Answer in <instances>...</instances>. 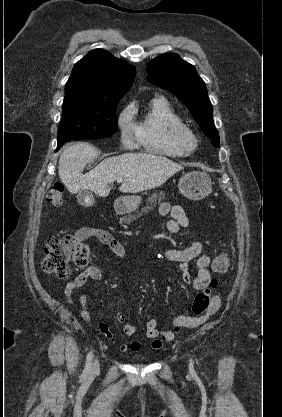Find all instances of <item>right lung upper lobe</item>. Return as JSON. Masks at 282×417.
<instances>
[{
  "mask_svg": "<svg viewBox=\"0 0 282 417\" xmlns=\"http://www.w3.org/2000/svg\"><path fill=\"white\" fill-rule=\"evenodd\" d=\"M134 76V66L106 50L95 49L74 65L65 94H124Z\"/></svg>",
  "mask_w": 282,
  "mask_h": 417,
  "instance_id": "right-lung-upper-lobe-1",
  "label": "right lung upper lobe"
}]
</instances>
